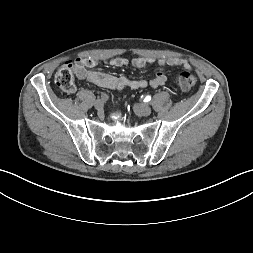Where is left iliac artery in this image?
Segmentation results:
<instances>
[{"label": "left iliac artery", "instance_id": "obj_1", "mask_svg": "<svg viewBox=\"0 0 253 253\" xmlns=\"http://www.w3.org/2000/svg\"><path fill=\"white\" fill-rule=\"evenodd\" d=\"M150 100H151L150 96H146L145 99H144L145 102H149Z\"/></svg>", "mask_w": 253, "mask_h": 253}]
</instances>
